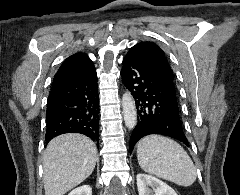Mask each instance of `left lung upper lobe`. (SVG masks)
Masks as SVG:
<instances>
[{"mask_svg":"<svg viewBox=\"0 0 240 195\" xmlns=\"http://www.w3.org/2000/svg\"><path fill=\"white\" fill-rule=\"evenodd\" d=\"M126 56L141 61L144 65L150 67L156 74L174 83V74L165 53L155 43H138L130 48Z\"/></svg>","mask_w":240,"mask_h":195,"instance_id":"left-lung-upper-lobe-1","label":"left lung upper lobe"}]
</instances>
